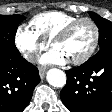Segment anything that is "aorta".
Listing matches in <instances>:
<instances>
[{"mask_svg": "<svg viewBox=\"0 0 112 112\" xmlns=\"http://www.w3.org/2000/svg\"><path fill=\"white\" fill-rule=\"evenodd\" d=\"M46 78L48 83L54 87H63L66 84V74L57 68L50 69Z\"/></svg>", "mask_w": 112, "mask_h": 112, "instance_id": "762f6f07", "label": "aorta"}]
</instances>
